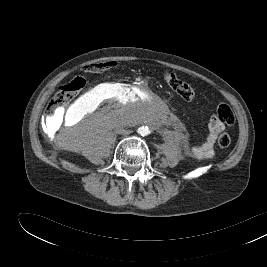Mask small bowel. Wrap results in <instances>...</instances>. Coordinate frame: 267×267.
<instances>
[{
    "label": "small bowel",
    "mask_w": 267,
    "mask_h": 267,
    "mask_svg": "<svg viewBox=\"0 0 267 267\" xmlns=\"http://www.w3.org/2000/svg\"><path fill=\"white\" fill-rule=\"evenodd\" d=\"M57 116H63L62 111L57 113ZM209 133L204 142L199 145L191 146L187 142L183 143L184 151L197 158V159H208L214 155V144L218 135L224 130L225 123L216 114H213L209 121Z\"/></svg>",
    "instance_id": "obj_1"
}]
</instances>
